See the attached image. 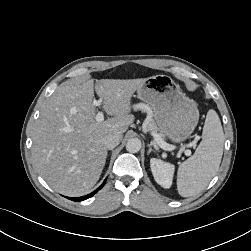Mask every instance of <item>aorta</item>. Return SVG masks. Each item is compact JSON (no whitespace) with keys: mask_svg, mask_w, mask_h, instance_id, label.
I'll list each match as a JSON object with an SVG mask.
<instances>
[{"mask_svg":"<svg viewBox=\"0 0 251 251\" xmlns=\"http://www.w3.org/2000/svg\"><path fill=\"white\" fill-rule=\"evenodd\" d=\"M141 149V141L138 138H130L126 143V150L130 153H137Z\"/></svg>","mask_w":251,"mask_h":251,"instance_id":"obj_1","label":"aorta"}]
</instances>
